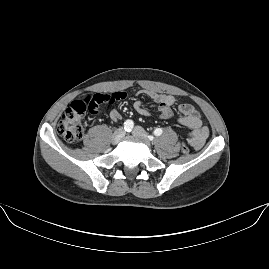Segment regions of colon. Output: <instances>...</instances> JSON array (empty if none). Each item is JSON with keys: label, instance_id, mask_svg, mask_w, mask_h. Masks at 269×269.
Masks as SVG:
<instances>
[{"label": "colon", "instance_id": "1", "mask_svg": "<svg viewBox=\"0 0 269 269\" xmlns=\"http://www.w3.org/2000/svg\"><path fill=\"white\" fill-rule=\"evenodd\" d=\"M113 97L125 98V93L103 94L94 92L91 96H86L75 100L62 115L57 124V131L60 136L68 142H78L83 137L85 127L87 126V114H95L99 107H102L112 101ZM87 112V114H86ZM183 150H188V145H183Z\"/></svg>", "mask_w": 269, "mask_h": 269}]
</instances>
